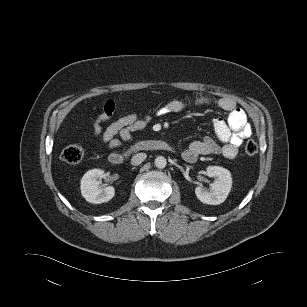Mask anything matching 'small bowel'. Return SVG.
I'll return each instance as SVG.
<instances>
[{"instance_id": "small-bowel-1", "label": "small bowel", "mask_w": 307, "mask_h": 307, "mask_svg": "<svg viewBox=\"0 0 307 307\" xmlns=\"http://www.w3.org/2000/svg\"><path fill=\"white\" fill-rule=\"evenodd\" d=\"M189 105L216 106L228 112V116L226 119L222 117L213 119L216 138L206 137L190 143L182 152V157L187 162H194L201 155L211 154H221L228 159L235 158L242 142L252 134L247 116L237 106L236 101L229 97L213 98L209 96H198L193 99H173L160 107L156 115L178 113ZM115 111L116 103L113 100L107 101L92 126L93 136L99 138L111 150L132 141L134 132L143 131L151 120L149 115L140 118L137 114L131 113L104 127V123L114 115Z\"/></svg>"}]
</instances>
